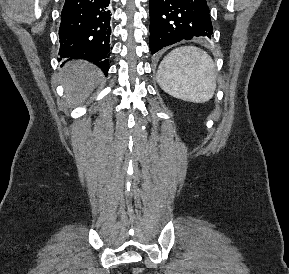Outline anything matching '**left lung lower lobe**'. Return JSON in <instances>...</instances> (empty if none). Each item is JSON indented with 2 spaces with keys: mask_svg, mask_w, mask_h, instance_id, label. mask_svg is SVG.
Instances as JSON below:
<instances>
[{
  "mask_svg": "<svg viewBox=\"0 0 289 274\" xmlns=\"http://www.w3.org/2000/svg\"><path fill=\"white\" fill-rule=\"evenodd\" d=\"M152 54L182 40L211 39L207 0H150Z\"/></svg>",
  "mask_w": 289,
  "mask_h": 274,
  "instance_id": "0a47b994",
  "label": "left lung lower lobe"
}]
</instances>
